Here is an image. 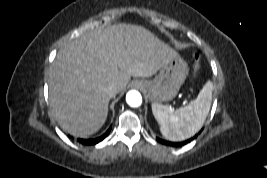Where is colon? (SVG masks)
Wrapping results in <instances>:
<instances>
[{"label": "colon", "instance_id": "5ec220e1", "mask_svg": "<svg viewBox=\"0 0 267 178\" xmlns=\"http://www.w3.org/2000/svg\"><path fill=\"white\" fill-rule=\"evenodd\" d=\"M193 59H194V68L197 70L200 66V54L195 52L193 54Z\"/></svg>", "mask_w": 267, "mask_h": 178}]
</instances>
